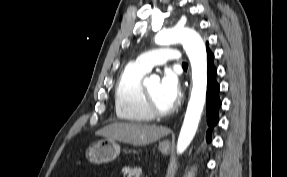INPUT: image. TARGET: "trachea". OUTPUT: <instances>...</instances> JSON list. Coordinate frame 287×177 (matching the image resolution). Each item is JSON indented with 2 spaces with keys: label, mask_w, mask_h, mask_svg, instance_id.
Masks as SVG:
<instances>
[{
  "label": "trachea",
  "mask_w": 287,
  "mask_h": 177,
  "mask_svg": "<svg viewBox=\"0 0 287 177\" xmlns=\"http://www.w3.org/2000/svg\"><path fill=\"white\" fill-rule=\"evenodd\" d=\"M182 66H183V67H187V63H183Z\"/></svg>",
  "instance_id": "obj_1"
}]
</instances>
